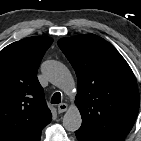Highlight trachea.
Returning a JSON list of instances; mask_svg holds the SVG:
<instances>
[{
  "mask_svg": "<svg viewBox=\"0 0 141 141\" xmlns=\"http://www.w3.org/2000/svg\"><path fill=\"white\" fill-rule=\"evenodd\" d=\"M61 101V94L59 92H56L52 98H51V103L52 104H58Z\"/></svg>",
  "mask_w": 141,
  "mask_h": 141,
  "instance_id": "obj_1",
  "label": "trachea"
}]
</instances>
